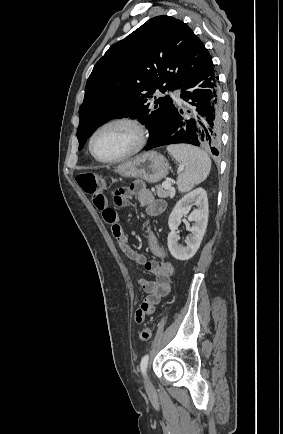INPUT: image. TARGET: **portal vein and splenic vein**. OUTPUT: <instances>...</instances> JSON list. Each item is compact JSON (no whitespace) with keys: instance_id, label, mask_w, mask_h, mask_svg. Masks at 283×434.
Segmentation results:
<instances>
[{"instance_id":"18ae733b","label":"portal vein and splenic vein","mask_w":283,"mask_h":434,"mask_svg":"<svg viewBox=\"0 0 283 434\" xmlns=\"http://www.w3.org/2000/svg\"><path fill=\"white\" fill-rule=\"evenodd\" d=\"M162 186L166 189H170L171 188V183L169 181H165L162 183Z\"/></svg>"}]
</instances>
